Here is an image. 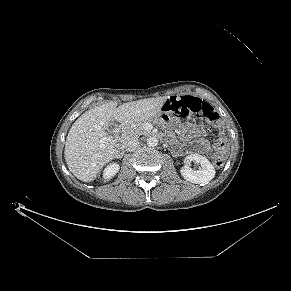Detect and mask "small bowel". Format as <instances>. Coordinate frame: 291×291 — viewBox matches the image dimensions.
<instances>
[{"label":"small bowel","instance_id":"c3829d8e","mask_svg":"<svg viewBox=\"0 0 291 291\" xmlns=\"http://www.w3.org/2000/svg\"><path fill=\"white\" fill-rule=\"evenodd\" d=\"M186 96L187 97H193V96H189V95H186ZM198 145H199V149L201 151L208 152V150H209V144H208V142L206 140L199 141Z\"/></svg>","mask_w":291,"mask_h":291}]
</instances>
